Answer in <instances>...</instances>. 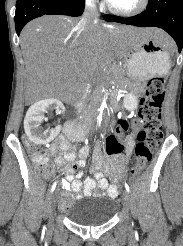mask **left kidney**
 Returning a JSON list of instances; mask_svg holds the SVG:
<instances>
[{
    "instance_id": "obj_1",
    "label": "left kidney",
    "mask_w": 183,
    "mask_h": 246,
    "mask_svg": "<svg viewBox=\"0 0 183 246\" xmlns=\"http://www.w3.org/2000/svg\"><path fill=\"white\" fill-rule=\"evenodd\" d=\"M124 108L133 111L137 108L138 105V98L133 93H129L124 98Z\"/></svg>"
}]
</instances>
